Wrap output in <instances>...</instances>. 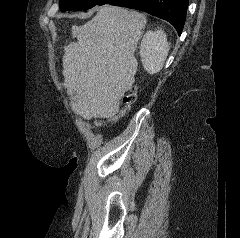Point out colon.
Listing matches in <instances>:
<instances>
[{
	"instance_id": "1",
	"label": "colon",
	"mask_w": 240,
	"mask_h": 238,
	"mask_svg": "<svg viewBox=\"0 0 240 238\" xmlns=\"http://www.w3.org/2000/svg\"><path fill=\"white\" fill-rule=\"evenodd\" d=\"M135 99V94L131 93L125 98V104L126 106H129Z\"/></svg>"
}]
</instances>
